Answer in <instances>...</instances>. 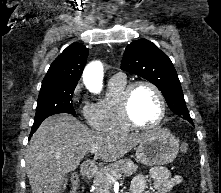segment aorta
<instances>
[{
    "mask_svg": "<svg viewBox=\"0 0 221 193\" xmlns=\"http://www.w3.org/2000/svg\"><path fill=\"white\" fill-rule=\"evenodd\" d=\"M89 68L95 69V68H96V65H95V64H92Z\"/></svg>",
    "mask_w": 221,
    "mask_h": 193,
    "instance_id": "obj_1",
    "label": "aorta"
}]
</instances>
